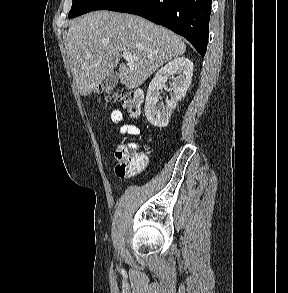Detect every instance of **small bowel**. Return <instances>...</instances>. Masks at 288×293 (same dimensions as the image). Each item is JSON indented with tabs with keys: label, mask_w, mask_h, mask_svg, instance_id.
<instances>
[{
	"label": "small bowel",
	"mask_w": 288,
	"mask_h": 293,
	"mask_svg": "<svg viewBox=\"0 0 288 293\" xmlns=\"http://www.w3.org/2000/svg\"><path fill=\"white\" fill-rule=\"evenodd\" d=\"M111 118L114 122H121L123 119L122 112L118 109L113 110L112 114H111ZM120 133L121 134H128L131 136H137V135H140V129L137 126L132 125V124H123L120 127ZM135 148H136V146H135Z\"/></svg>",
	"instance_id": "obj_1"
}]
</instances>
